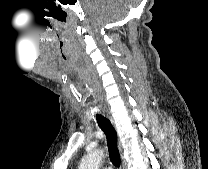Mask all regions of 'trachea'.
<instances>
[{"label": "trachea", "instance_id": "3493384b", "mask_svg": "<svg viewBox=\"0 0 208 169\" xmlns=\"http://www.w3.org/2000/svg\"><path fill=\"white\" fill-rule=\"evenodd\" d=\"M96 120L99 127L106 135L109 157L113 165L117 168L121 165V158L117 147V134L111 122L104 116L97 114Z\"/></svg>", "mask_w": 208, "mask_h": 169}]
</instances>
